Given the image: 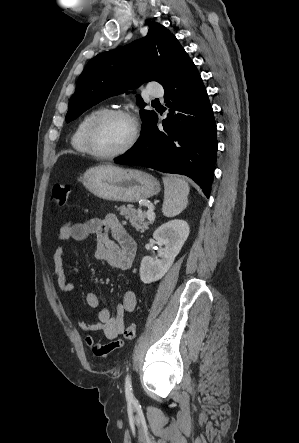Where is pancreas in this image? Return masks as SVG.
I'll use <instances>...</instances> for the list:
<instances>
[{"mask_svg":"<svg viewBox=\"0 0 299 443\" xmlns=\"http://www.w3.org/2000/svg\"><path fill=\"white\" fill-rule=\"evenodd\" d=\"M118 210L120 211V215L128 219L132 227L137 231L143 233L145 230H147L148 225L150 224L146 222L147 213L142 212L141 210H135L134 206L131 204L121 206L118 208Z\"/></svg>","mask_w":299,"mask_h":443,"instance_id":"cf45deb5","label":"pancreas"}]
</instances>
